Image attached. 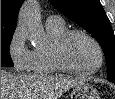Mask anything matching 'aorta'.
<instances>
[{
    "mask_svg": "<svg viewBox=\"0 0 115 99\" xmlns=\"http://www.w3.org/2000/svg\"><path fill=\"white\" fill-rule=\"evenodd\" d=\"M19 28L28 35L31 42L38 43L44 37V29L40 20L38 4L30 0L23 6L18 20Z\"/></svg>",
    "mask_w": 115,
    "mask_h": 99,
    "instance_id": "aorta-1",
    "label": "aorta"
}]
</instances>
